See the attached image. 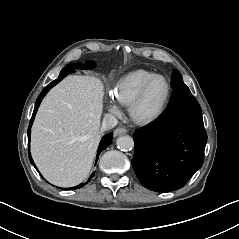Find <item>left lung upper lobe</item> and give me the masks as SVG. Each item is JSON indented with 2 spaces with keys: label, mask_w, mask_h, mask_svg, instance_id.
<instances>
[{
  "label": "left lung upper lobe",
  "mask_w": 239,
  "mask_h": 239,
  "mask_svg": "<svg viewBox=\"0 0 239 239\" xmlns=\"http://www.w3.org/2000/svg\"><path fill=\"white\" fill-rule=\"evenodd\" d=\"M171 86L173 89L179 88V87H186L187 85L183 82L182 76L178 70H173V74L171 77Z\"/></svg>",
  "instance_id": "5c2ea615"
}]
</instances>
